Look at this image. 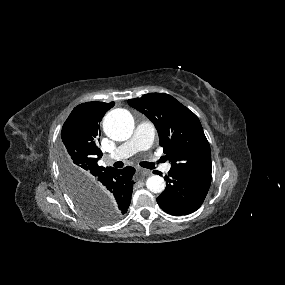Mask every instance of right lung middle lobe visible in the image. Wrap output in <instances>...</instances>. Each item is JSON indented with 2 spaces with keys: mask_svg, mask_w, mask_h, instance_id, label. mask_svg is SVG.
Segmentation results:
<instances>
[{
  "mask_svg": "<svg viewBox=\"0 0 285 285\" xmlns=\"http://www.w3.org/2000/svg\"><path fill=\"white\" fill-rule=\"evenodd\" d=\"M59 159L65 186L79 211L95 223L110 224L117 221L121 215L112 206L101 200L95 191L93 193L86 186L80 184L75 172L66 162L61 152Z\"/></svg>",
  "mask_w": 285,
  "mask_h": 285,
  "instance_id": "1",
  "label": "right lung middle lobe"
}]
</instances>
